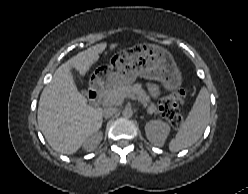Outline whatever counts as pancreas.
<instances>
[{
    "label": "pancreas",
    "mask_w": 248,
    "mask_h": 194,
    "mask_svg": "<svg viewBox=\"0 0 248 194\" xmlns=\"http://www.w3.org/2000/svg\"><path fill=\"white\" fill-rule=\"evenodd\" d=\"M132 94L137 100L146 108L147 113H156V105L151 102L149 96L146 94L145 90L142 88L141 84H120L114 86L112 89L106 92L104 95V103L106 105H120L123 101V95Z\"/></svg>",
    "instance_id": "cf45deb5"
}]
</instances>
